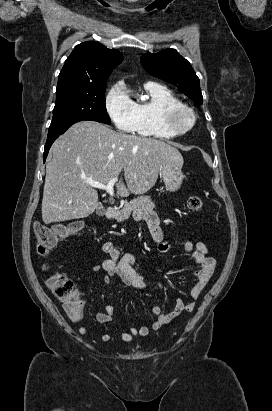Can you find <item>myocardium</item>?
<instances>
[{"instance_id": "1", "label": "myocardium", "mask_w": 272, "mask_h": 411, "mask_svg": "<svg viewBox=\"0 0 272 411\" xmlns=\"http://www.w3.org/2000/svg\"><path fill=\"white\" fill-rule=\"evenodd\" d=\"M188 115L189 122L185 125L179 123V118ZM163 127L173 136H180L188 133L195 126L196 114L185 104H172L163 108L161 114Z\"/></svg>"}]
</instances>
